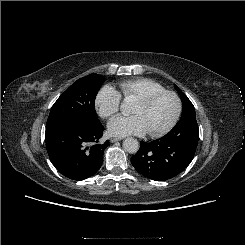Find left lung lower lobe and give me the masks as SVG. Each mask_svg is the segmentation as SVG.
<instances>
[{
	"label": "left lung lower lobe",
	"instance_id": "1",
	"mask_svg": "<svg viewBox=\"0 0 245 245\" xmlns=\"http://www.w3.org/2000/svg\"><path fill=\"white\" fill-rule=\"evenodd\" d=\"M196 147L194 144L173 142L164 137L150 143L141 142L131 163L145 177L164 181L185 170L194 157Z\"/></svg>",
	"mask_w": 245,
	"mask_h": 245
}]
</instances>
